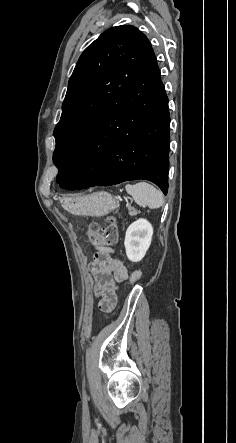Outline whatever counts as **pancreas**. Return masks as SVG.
Returning <instances> with one entry per match:
<instances>
[{
  "instance_id": "obj_1",
  "label": "pancreas",
  "mask_w": 236,
  "mask_h": 443,
  "mask_svg": "<svg viewBox=\"0 0 236 443\" xmlns=\"http://www.w3.org/2000/svg\"><path fill=\"white\" fill-rule=\"evenodd\" d=\"M128 211H129V215L130 216H134L137 215L139 213V211L131 206L128 207Z\"/></svg>"
}]
</instances>
